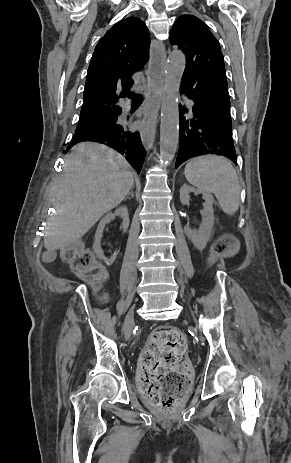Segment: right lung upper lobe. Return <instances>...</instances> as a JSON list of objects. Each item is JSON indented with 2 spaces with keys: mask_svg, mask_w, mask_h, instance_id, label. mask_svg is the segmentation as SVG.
I'll use <instances>...</instances> for the list:
<instances>
[{
  "mask_svg": "<svg viewBox=\"0 0 291 463\" xmlns=\"http://www.w3.org/2000/svg\"><path fill=\"white\" fill-rule=\"evenodd\" d=\"M149 48V32L139 18L121 20L106 32L90 61L80 120L121 110L117 92L133 86L132 74L149 60Z\"/></svg>",
  "mask_w": 291,
  "mask_h": 463,
  "instance_id": "cb5924a9",
  "label": "right lung upper lobe"
}]
</instances>
